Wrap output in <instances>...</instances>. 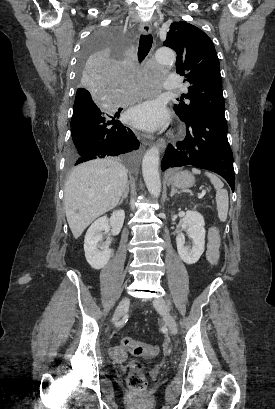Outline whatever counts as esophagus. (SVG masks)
<instances>
[{
	"label": "esophagus",
	"instance_id": "obj_1",
	"mask_svg": "<svg viewBox=\"0 0 275 409\" xmlns=\"http://www.w3.org/2000/svg\"><path fill=\"white\" fill-rule=\"evenodd\" d=\"M139 31L142 35H149L151 33V26L147 23V22H143L141 23L140 27H139ZM149 145V144H147ZM156 147H158L162 152L165 150L166 148V142L163 138L161 139H157L155 142Z\"/></svg>",
	"mask_w": 275,
	"mask_h": 409
}]
</instances>
